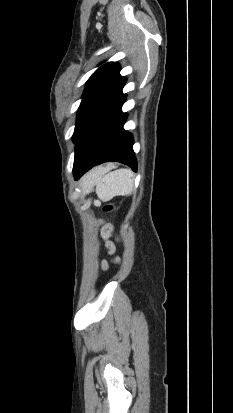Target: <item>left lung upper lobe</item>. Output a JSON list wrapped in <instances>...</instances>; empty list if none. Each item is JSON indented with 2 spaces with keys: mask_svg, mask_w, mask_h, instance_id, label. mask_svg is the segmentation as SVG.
<instances>
[{
  "mask_svg": "<svg viewBox=\"0 0 233 413\" xmlns=\"http://www.w3.org/2000/svg\"><path fill=\"white\" fill-rule=\"evenodd\" d=\"M119 71V64L109 62L99 67L87 81L73 134L75 152L90 123L126 83Z\"/></svg>",
  "mask_w": 233,
  "mask_h": 413,
  "instance_id": "1",
  "label": "left lung upper lobe"
}]
</instances>
